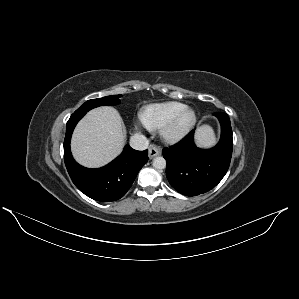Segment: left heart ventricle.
Listing matches in <instances>:
<instances>
[{"label":"left heart ventricle","instance_id":"b2bd125f","mask_svg":"<svg viewBox=\"0 0 299 299\" xmlns=\"http://www.w3.org/2000/svg\"><path fill=\"white\" fill-rule=\"evenodd\" d=\"M190 119V115H187L185 118H184V121H187Z\"/></svg>","mask_w":299,"mask_h":299}]
</instances>
